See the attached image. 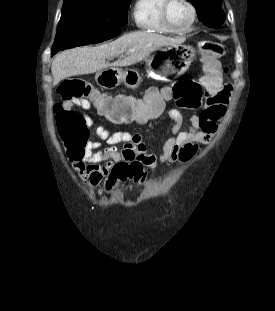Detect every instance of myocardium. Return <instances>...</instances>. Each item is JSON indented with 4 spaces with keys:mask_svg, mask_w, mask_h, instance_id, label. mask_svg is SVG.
<instances>
[{
    "mask_svg": "<svg viewBox=\"0 0 275 311\" xmlns=\"http://www.w3.org/2000/svg\"><path fill=\"white\" fill-rule=\"evenodd\" d=\"M173 2L174 0H164V3L161 8L162 21L164 25L167 27V29L170 30L172 33H186L193 28V26L195 25L197 21V16H198L197 9L191 0H184V2L189 6L191 10V15H192L191 21L186 27L177 28L171 23L170 18H169V8Z\"/></svg>",
    "mask_w": 275,
    "mask_h": 311,
    "instance_id": "obj_1",
    "label": "myocardium"
}]
</instances>
